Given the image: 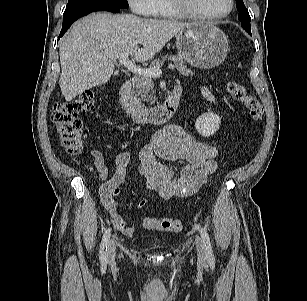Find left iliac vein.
I'll use <instances>...</instances> for the list:
<instances>
[{
    "label": "left iliac vein",
    "instance_id": "4c4485c4",
    "mask_svg": "<svg viewBox=\"0 0 307 301\" xmlns=\"http://www.w3.org/2000/svg\"><path fill=\"white\" fill-rule=\"evenodd\" d=\"M195 241H196V251H197L198 260L200 263L205 264L207 261V255H206L204 242L199 236H196Z\"/></svg>",
    "mask_w": 307,
    "mask_h": 301
}]
</instances>
